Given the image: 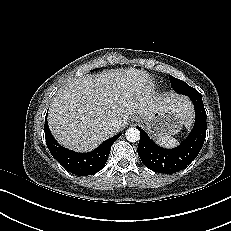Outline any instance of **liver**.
Segmentation results:
<instances>
[{
	"label": "liver",
	"mask_w": 231,
	"mask_h": 231,
	"mask_svg": "<svg viewBox=\"0 0 231 231\" xmlns=\"http://www.w3.org/2000/svg\"><path fill=\"white\" fill-rule=\"evenodd\" d=\"M167 107L180 114L182 124L191 123L193 108L186 97L157 96L145 71L109 70L78 77L61 87L50 104L48 124L61 145L87 152L115 134L108 128L111 121L124 126L129 115L150 116Z\"/></svg>",
	"instance_id": "liver-1"
}]
</instances>
